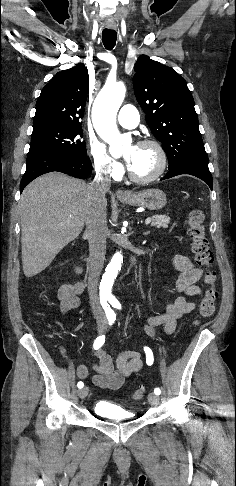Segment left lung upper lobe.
<instances>
[{"label":"left lung upper lobe","mask_w":236,"mask_h":486,"mask_svg":"<svg viewBox=\"0 0 236 486\" xmlns=\"http://www.w3.org/2000/svg\"><path fill=\"white\" fill-rule=\"evenodd\" d=\"M135 72L136 99L151 132L162 143L169 170L183 165L208 168L194 99L185 79L146 55L138 58Z\"/></svg>","instance_id":"left-lung-upper-lobe-1"}]
</instances>
